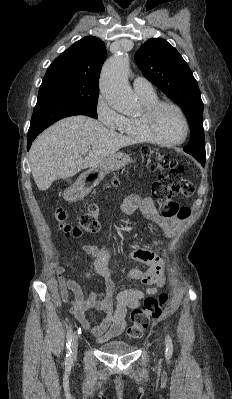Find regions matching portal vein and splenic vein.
<instances>
[{"mask_svg": "<svg viewBox=\"0 0 232 399\" xmlns=\"http://www.w3.org/2000/svg\"><path fill=\"white\" fill-rule=\"evenodd\" d=\"M88 150H82L81 154L82 156H85V154H87Z\"/></svg>", "mask_w": 232, "mask_h": 399, "instance_id": "18ae733b", "label": "portal vein and splenic vein"}]
</instances>
